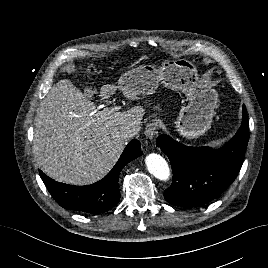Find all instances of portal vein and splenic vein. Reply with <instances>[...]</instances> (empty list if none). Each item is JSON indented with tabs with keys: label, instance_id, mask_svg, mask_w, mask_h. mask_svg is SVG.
<instances>
[{
	"label": "portal vein and splenic vein",
	"instance_id": "18ae733b",
	"mask_svg": "<svg viewBox=\"0 0 268 268\" xmlns=\"http://www.w3.org/2000/svg\"><path fill=\"white\" fill-rule=\"evenodd\" d=\"M116 109V108H115ZM113 109L104 108L102 111L98 112V115L106 116L112 113Z\"/></svg>",
	"mask_w": 268,
	"mask_h": 268
}]
</instances>
